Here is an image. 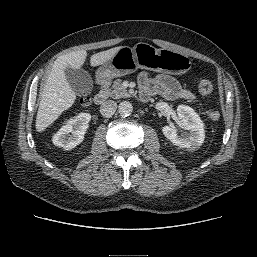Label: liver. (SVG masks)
<instances>
[{
  "mask_svg": "<svg viewBox=\"0 0 257 257\" xmlns=\"http://www.w3.org/2000/svg\"><path fill=\"white\" fill-rule=\"evenodd\" d=\"M121 47H114L106 51L93 54L90 57L91 66L95 67L109 61ZM87 57L85 50L71 52L60 56L53 64L51 73L41 94L36 116V130L44 131L52 124L65 110L70 108L75 100L76 94L70 87L66 76L65 69L70 67L80 69Z\"/></svg>",
  "mask_w": 257,
  "mask_h": 257,
  "instance_id": "1",
  "label": "liver"
}]
</instances>
